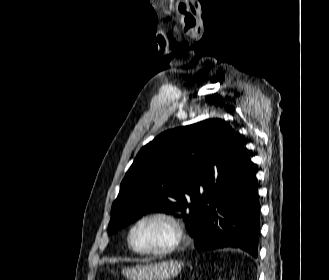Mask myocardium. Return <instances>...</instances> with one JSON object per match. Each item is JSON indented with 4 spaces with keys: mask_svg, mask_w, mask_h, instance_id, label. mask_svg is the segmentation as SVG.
<instances>
[{
    "mask_svg": "<svg viewBox=\"0 0 329 280\" xmlns=\"http://www.w3.org/2000/svg\"><path fill=\"white\" fill-rule=\"evenodd\" d=\"M150 220H161L166 222L172 229V240L167 246L160 249H138L133 244V233L140 224ZM183 238V227L174 214L167 211H154L141 216L132 224L128 232V245L134 253L139 255L164 256L175 251L180 246Z\"/></svg>",
    "mask_w": 329,
    "mask_h": 280,
    "instance_id": "f54148a6",
    "label": "myocardium"
}]
</instances>
